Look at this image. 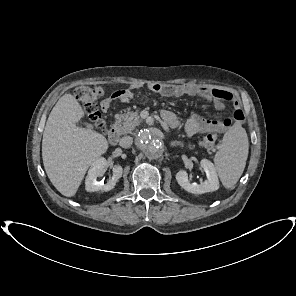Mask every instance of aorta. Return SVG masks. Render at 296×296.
Wrapping results in <instances>:
<instances>
[{"instance_id":"obj_1","label":"aorta","mask_w":296,"mask_h":296,"mask_svg":"<svg viewBox=\"0 0 296 296\" xmlns=\"http://www.w3.org/2000/svg\"><path fill=\"white\" fill-rule=\"evenodd\" d=\"M136 144L148 158H158L164 152V146L161 141L147 129L141 130L137 134Z\"/></svg>"}]
</instances>
